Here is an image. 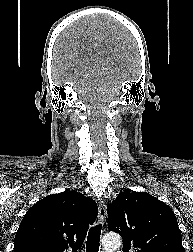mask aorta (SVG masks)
Listing matches in <instances>:
<instances>
[{
	"label": "aorta",
	"mask_w": 193,
	"mask_h": 252,
	"mask_svg": "<svg viewBox=\"0 0 193 252\" xmlns=\"http://www.w3.org/2000/svg\"><path fill=\"white\" fill-rule=\"evenodd\" d=\"M122 244L121 236L118 234H107L103 237L102 246L106 252H113Z\"/></svg>",
	"instance_id": "1"
}]
</instances>
